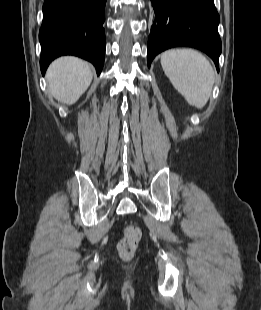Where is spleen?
I'll return each instance as SVG.
<instances>
[{"label":"spleen","mask_w":261,"mask_h":310,"mask_svg":"<svg viewBox=\"0 0 261 310\" xmlns=\"http://www.w3.org/2000/svg\"><path fill=\"white\" fill-rule=\"evenodd\" d=\"M161 65L174 88L187 103L203 108L212 92L215 72L198 51L168 50L161 55Z\"/></svg>","instance_id":"obj_1"}]
</instances>
